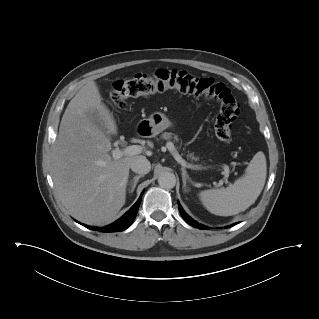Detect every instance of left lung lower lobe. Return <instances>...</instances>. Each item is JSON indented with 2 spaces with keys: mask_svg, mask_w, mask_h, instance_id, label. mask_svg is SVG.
I'll return each instance as SVG.
<instances>
[{
  "mask_svg": "<svg viewBox=\"0 0 319 319\" xmlns=\"http://www.w3.org/2000/svg\"><path fill=\"white\" fill-rule=\"evenodd\" d=\"M178 207H179V211H180V214L181 216L192 226L196 227V228H199V229H209L207 226H204L202 224H198L196 221H194L192 218H190L185 212L184 210L182 209L181 205L178 203ZM237 224V223H236ZM235 224H232L228 227H231Z\"/></svg>",
  "mask_w": 319,
  "mask_h": 319,
  "instance_id": "1",
  "label": "left lung lower lobe"
}]
</instances>
